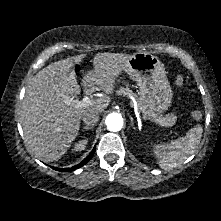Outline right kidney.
<instances>
[{
	"label": "right kidney",
	"instance_id": "obj_1",
	"mask_svg": "<svg viewBox=\"0 0 221 221\" xmlns=\"http://www.w3.org/2000/svg\"><path fill=\"white\" fill-rule=\"evenodd\" d=\"M88 143L87 139L79 140L77 143H75L74 148L72 151H82L86 148V145Z\"/></svg>",
	"mask_w": 221,
	"mask_h": 221
}]
</instances>
